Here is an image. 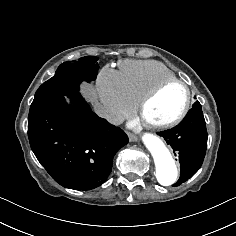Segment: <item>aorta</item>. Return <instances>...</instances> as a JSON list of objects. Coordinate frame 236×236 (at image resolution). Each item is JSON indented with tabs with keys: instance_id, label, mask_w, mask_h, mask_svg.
I'll return each mask as SVG.
<instances>
[{
	"instance_id": "1",
	"label": "aorta",
	"mask_w": 236,
	"mask_h": 236,
	"mask_svg": "<svg viewBox=\"0 0 236 236\" xmlns=\"http://www.w3.org/2000/svg\"><path fill=\"white\" fill-rule=\"evenodd\" d=\"M142 141L154 158L158 182L163 186H169L175 183L178 170L164 142L158 136L150 133L144 134Z\"/></svg>"
}]
</instances>
